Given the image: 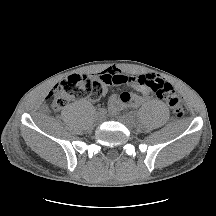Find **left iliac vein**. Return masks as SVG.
<instances>
[{
  "mask_svg": "<svg viewBox=\"0 0 216 216\" xmlns=\"http://www.w3.org/2000/svg\"><path fill=\"white\" fill-rule=\"evenodd\" d=\"M119 121L123 123L127 128L132 129L135 127V119L130 115H121Z\"/></svg>",
  "mask_w": 216,
  "mask_h": 216,
  "instance_id": "4c4485c4",
  "label": "left iliac vein"
}]
</instances>
